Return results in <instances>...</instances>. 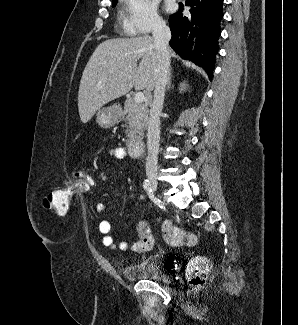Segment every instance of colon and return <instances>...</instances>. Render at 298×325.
Masks as SVG:
<instances>
[{
  "instance_id": "obj_1",
  "label": "colon",
  "mask_w": 298,
  "mask_h": 325,
  "mask_svg": "<svg viewBox=\"0 0 298 325\" xmlns=\"http://www.w3.org/2000/svg\"><path fill=\"white\" fill-rule=\"evenodd\" d=\"M95 186L93 177L85 170H76L73 173L72 183L68 186L54 189L43 197V206L52 210L57 216H64L69 208L72 197L81 191H88ZM146 222L139 224V238L132 244L135 252L149 251L154 244L153 236L145 230ZM159 226L165 242L174 247L191 246L197 241L194 234L181 230L167 220H160ZM210 271V264L206 259L195 258L187 266L186 276L189 283L199 286L205 283Z\"/></svg>"
}]
</instances>
